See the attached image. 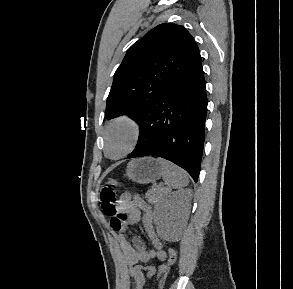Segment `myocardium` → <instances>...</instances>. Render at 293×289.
<instances>
[{"label":"myocardium","mask_w":293,"mask_h":289,"mask_svg":"<svg viewBox=\"0 0 293 289\" xmlns=\"http://www.w3.org/2000/svg\"><path fill=\"white\" fill-rule=\"evenodd\" d=\"M125 126L129 129L130 131V142L128 144V146L125 148V150L116 156H112L109 154L108 151V139H109V134L110 132L117 126ZM142 136V124L140 122V120L134 116V115H130V114H124V115H120L116 118H114L105 128L104 131V152L106 154V156L110 159H120L123 158L124 156L128 155L129 153H131L135 147L137 146V144L140 141V138Z\"/></svg>","instance_id":"myocardium-1"}]
</instances>
